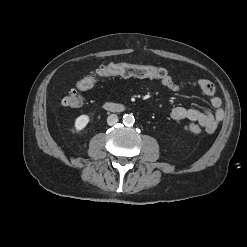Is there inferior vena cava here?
<instances>
[{
	"mask_svg": "<svg viewBox=\"0 0 247 247\" xmlns=\"http://www.w3.org/2000/svg\"><path fill=\"white\" fill-rule=\"evenodd\" d=\"M118 116L116 114H111L107 118L108 125L112 126L118 122Z\"/></svg>",
	"mask_w": 247,
	"mask_h": 247,
	"instance_id": "obj_1",
	"label": "inferior vena cava"
}]
</instances>
